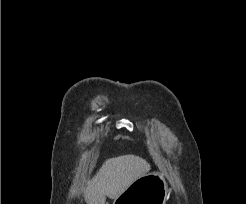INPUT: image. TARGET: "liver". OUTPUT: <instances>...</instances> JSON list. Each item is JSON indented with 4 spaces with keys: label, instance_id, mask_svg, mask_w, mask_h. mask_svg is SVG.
<instances>
[{
    "label": "liver",
    "instance_id": "liver-1",
    "mask_svg": "<svg viewBox=\"0 0 246 204\" xmlns=\"http://www.w3.org/2000/svg\"><path fill=\"white\" fill-rule=\"evenodd\" d=\"M150 164L139 156L123 155L105 161L87 182L84 199L87 204H105L106 196L116 199L131 183L150 171Z\"/></svg>",
    "mask_w": 246,
    "mask_h": 204
}]
</instances>
